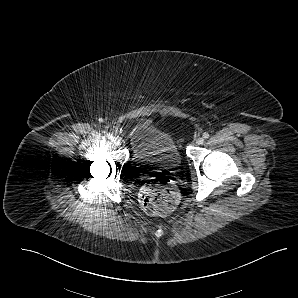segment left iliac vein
Instances as JSON below:
<instances>
[{"label": "left iliac vein", "instance_id": "1", "mask_svg": "<svg viewBox=\"0 0 298 298\" xmlns=\"http://www.w3.org/2000/svg\"><path fill=\"white\" fill-rule=\"evenodd\" d=\"M204 143V138L203 137H199L196 139V144L201 145Z\"/></svg>", "mask_w": 298, "mask_h": 298}]
</instances>
